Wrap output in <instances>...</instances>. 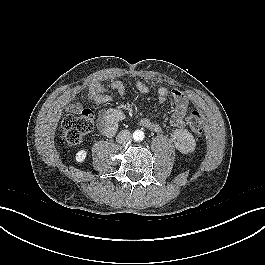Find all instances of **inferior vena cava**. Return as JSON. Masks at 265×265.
<instances>
[{
  "instance_id": "1",
  "label": "inferior vena cava",
  "mask_w": 265,
  "mask_h": 265,
  "mask_svg": "<svg viewBox=\"0 0 265 265\" xmlns=\"http://www.w3.org/2000/svg\"><path fill=\"white\" fill-rule=\"evenodd\" d=\"M131 139H132V134L129 130L120 131L116 137V141L118 143H126V142L131 141Z\"/></svg>"
}]
</instances>
